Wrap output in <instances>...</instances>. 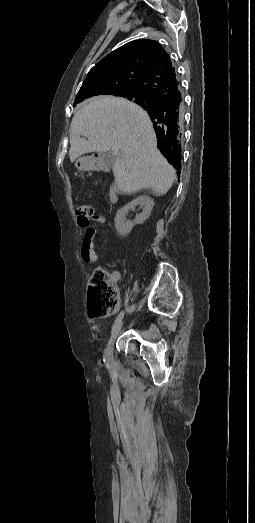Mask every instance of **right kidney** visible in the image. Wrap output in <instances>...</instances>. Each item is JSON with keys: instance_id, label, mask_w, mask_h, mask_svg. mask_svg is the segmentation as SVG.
Wrapping results in <instances>:
<instances>
[{"instance_id": "ca27d5eb", "label": "right kidney", "mask_w": 255, "mask_h": 523, "mask_svg": "<svg viewBox=\"0 0 255 523\" xmlns=\"http://www.w3.org/2000/svg\"><path fill=\"white\" fill-rule=\"evenodd\" d=\"M138 204H141V206H144L143 212L141 214H137L134 222H125V214L129 212V210H134L135 206H138ZM154 206V202L152 198H149V196H138V198H135V200H132L130 204H127V206H123L121 210H118L116 216H115V228L120 234V236H126V234H129L131 232L133 226L135 224H143L147 218H149L152 208Z\"/></svg>"}]
</instances>
